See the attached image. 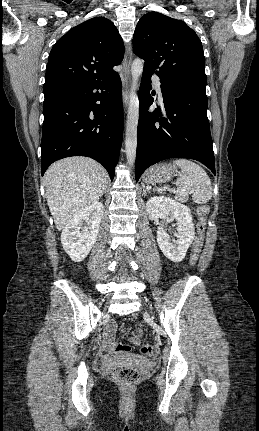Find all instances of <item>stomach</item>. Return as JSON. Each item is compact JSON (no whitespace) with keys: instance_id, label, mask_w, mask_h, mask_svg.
Listing matches in <instances>:
<instances>
[{"instance_id":"obj_1","label":"stomach","mask_w":259,"mask_h":431,"mask_svg":"<svg viewBox=\"0 0 259 431\" xmlns=\"http://www.w3.org/2000/svg\"><path fill=\"white\" fill-rule=\"evenodd\" d=\"M176 167L171 164H159L148 169L144 175L147 184H158L169 181L176 172Z\"/></svg>"}]
</instances>
